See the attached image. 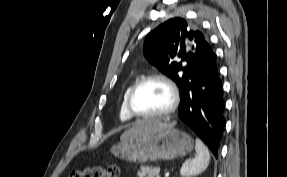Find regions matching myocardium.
<instances>
[{"label": "myocardium", "instance_id": "1", "mask_svg": "<svg viewBox=\"0 0 287 177\" xmlns=\"http://www.w3.org/2000/svg\"><path fill=\"white\" fill-rule=\"evenodd\" d=\"M154 80L162 82L168 88L170 92L171 103L169 107L161 113L141 114L135 110L133 106V98L141 86H143L147 82L154 81ZM179 102H180V94L175 83L169 77L163 74L155 73V74H149V75L143 76L136 81V83L132 86V88L130 89L128 93V96L126 99V106L131 116L139 118V119L149 120V119H160V118H164L170 115L176 110V108L179 105Z\"/></svg>", "mask_w": 287, "mask_h": 177}]
</instances>
